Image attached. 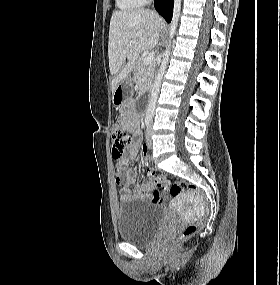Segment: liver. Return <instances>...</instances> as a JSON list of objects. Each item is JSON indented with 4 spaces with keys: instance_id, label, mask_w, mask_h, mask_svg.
<instances>
[{
    "instance_id": "1",
    "label": "liver",
    "mask_w": 280,
    "mask_h": 285,
    "mask_svg": "<svg viewBox=\"0 0 280 285\" xmlns=\"http://www.w3.org/2000/svg\"><path fill=\"white\" fill-rule=\"evenodd\" d=\"M165 29V22L146 9L115 11L109 28V69L114 78L112 93L134 68L139 54L153 49ZM132 43V47L128 44Z\"/></svg>"
}]
</instances>
